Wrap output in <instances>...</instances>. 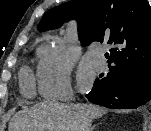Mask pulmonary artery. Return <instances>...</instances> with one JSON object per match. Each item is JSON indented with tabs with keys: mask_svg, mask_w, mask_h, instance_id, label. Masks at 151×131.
<instances>
[{
	"mask_svg": "<svg viewBox=\"0 0 151 131\" xmlns=\"http://www.w3.org/2000/svg\"><path fill=\"white\" fill-rule=\"evenodd\" d=\"M91 55H92L96 65H97V67L99 69H104L105 59L103 57L102 52H100L99 50L94 49V50L91 51Z\"/></svg>",
	"mask_w": 151,
	"mask_h": 131,
	"instance_id": "obj_1",
	"label": "pulmonary artery"
}]
</instances>
